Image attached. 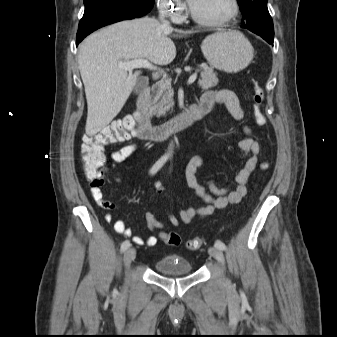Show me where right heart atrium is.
<instances>
[{"mask_svg":"<svg viewBox=\"0 0 337 337\" xmlns=\"http://www.w3.org/2000/svg\"><path fill=\"white\" fill-rule=\"evenodd\" d=\"M160 11L172 21L182 20L186 7L181 0H156Z\"/></svg>","mask_w":337,"mask_h":337,"instance_id":"right-heart-atrium-1","label":"right heart atrium"}]
</instances>
